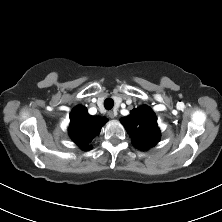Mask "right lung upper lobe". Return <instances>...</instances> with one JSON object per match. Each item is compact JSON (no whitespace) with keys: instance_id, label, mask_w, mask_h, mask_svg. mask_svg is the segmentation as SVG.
Returning a JSON list of instances; mask_svg holds the SVG:
<instances>
[{"instance_id":"1","label":"right lung upper lobe","mask_w":222,"mask_h":222,"mask_svg":"<svg viewBox=\"0 0 222 222\" xmlns=\"http://www.w3.org/2000/svg\"><path fill=\"white\" fill-rule=\"evenodd\" d=\"M107 121L105 117L90 116L85 107L78 105L70 114L69 135L82 150H89L92 148L90 141Z\"/></svg>"}]
</instances>
